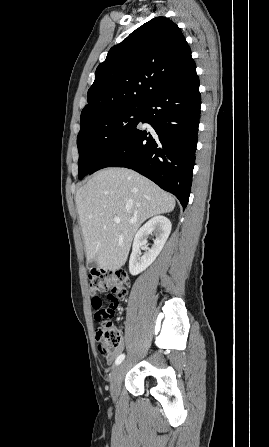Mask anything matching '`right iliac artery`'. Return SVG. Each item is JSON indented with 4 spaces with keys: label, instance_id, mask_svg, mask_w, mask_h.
I'll return each instance as SVG.
<instances>
[{
    "label": "right iliac artery",
    "instance_id": "right-iliac-artery-1",
    "mask_svg": "<svg viewBox=\"0 0 269 447\" xmlns=\"http://www.w3.org/2000/svg\"><path fill=\"white\" fill-rule=\"evenodd\" d=\"M124 358H125V354L119 355L115 361V364L119 365L124 360Z\"/></svg>",
    "mask_w": 269,
    "mask_h": 447
}]
</instances>
